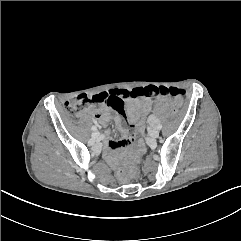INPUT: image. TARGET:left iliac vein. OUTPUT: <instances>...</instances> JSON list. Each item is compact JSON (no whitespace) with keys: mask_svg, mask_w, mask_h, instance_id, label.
<instances>
[{"mask_svg":"<svg viewBox=\"0 0 241 241\" xmlns=\"http://www.w3.org/2000/svg\"><path fill=\"white\" fill-rule=\"evenodd\" d=\"M150 136L152 138H157L159 136V130L157 128H153L151 131H150Z\"/></svg>","mask_w":241,"mask_h":241,"instance_id":"4c4485c4","label":"left iliac vein"}]
</instances>
